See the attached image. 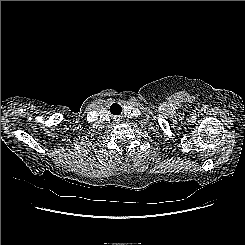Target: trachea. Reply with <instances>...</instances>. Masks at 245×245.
I'll use <instances>...</instances> for the list:
<instances>
[{"mask_svg": "<svg viewBox=\"0 0 245 245\" xmlns=\"http://www.w3.org/2000/svg\"><path fill=\"white\" fill-rule=\"evenodd\" d=\"M114 105L117 106L118 109L121 111V106L120 105H118V104H114ZM114 105H112V106H114Z\"/></svg>", "mask_w": 245, "mask_h": 245, "instance_id": "obj_1", "label": "trachea"}]
</instances>
